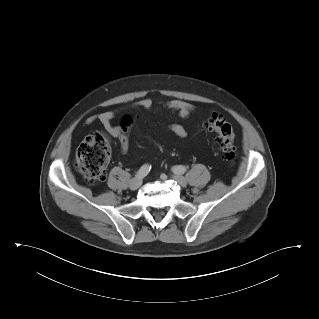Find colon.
<instances>
[{
	"label": "colon",
	"mask_w": 319,
	"mask_h": 319,
	"mask_svg": "<svg viewBox=\"0 0 319 319\" xmlns=\"http://www.w3.org/2000/svg\"><path fill=\"white\" fill-rule=\"evenodd\" d=\"M132 121V117L126 116L120 122L122 139L125 142L128 141L127 132ZM206 128L213 133L223 158L233 165L235 160L234 131L231 124L222 115L216 113L208 119ZM109 156L110 148L107 140L99 134H91L77 149L75 165L90 184L96 185L105 179Z\"/></svg>",
	"instance_id": "colon-1"
}]
</instances>
